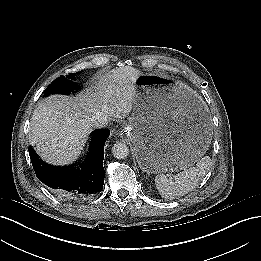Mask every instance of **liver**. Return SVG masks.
<instances>
[{"instance_id": "1", "label": "liver", "mask_w": 261, "mask_h": 261, "mask_svg": "<svg viewBox=\"0 0 261 261\" xmlns=\"http://www.w3.org/2000/svg\"><path fill=\"white\" fill-rule=\"evenodd\" d=\"M141 71L131 66L101 75L94 90L77 98L52 95L38 103L31 118V140L41 158L65 165L81 153L90 132L93 113L128 117L134 107L136 82Z\"/></svg>"}]
</instances>
